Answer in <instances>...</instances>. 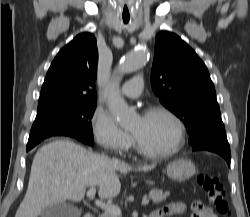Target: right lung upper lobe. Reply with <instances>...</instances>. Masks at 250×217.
I'll list each match as a JSON object with an SVG mask.
<instances>
[{
  "label": "right lung upper lobe",
  "instance_id": "1",
  "mask_svg": "<svg viewBox=\"0 0 250 217\" xmlns=\"http://www.w3.org/2000/svg\"><path fill=\"white\" fill-rule=\"evenodd\" d=\"M97 42L91 33L62 48L45 77L37 112L82 102H96Z\"/></svg>",
  "mask_w": 250,
  "mask_h": 217
}]
</instances>
